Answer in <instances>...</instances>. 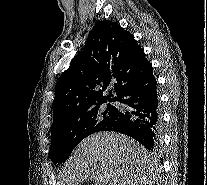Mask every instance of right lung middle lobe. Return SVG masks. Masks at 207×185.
I'll use <instances>...</instances> for the list:
<instances>
[{"label": "right lung middle lobe", "mask_w": 207, "mask_h": 185, "mask_svg": "<svg viewBox=\"0 0 207 185\" xmlns=\"http://www.w3.org/2000/svg\"><path fill=\"white\" fill-rule=\"evenodd\" d=\"M116 119L117 108L107 104V107H97L52 127L49 158L53 163L65 161L85 137L101 131Z\"/></svg>", "instance_id": "right-lung-middle-lobe-1"}]
</instances>
